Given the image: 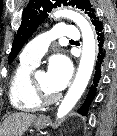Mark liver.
<instances>
[{"label":"liver","mask_w":117,"mask_h":136,"mask_svg":"<svg viewBox=\"0 0 117 136\" xmlns=\"http://www.w3.org/2000/svg\"><path fill=\"white\" fill-rule=\"evenodd\" d=\"M36 115L16 112L7 116L0 127V136H22L35 121Z\"/></svg>","instance_id":"liver-1"}]
</instances>
